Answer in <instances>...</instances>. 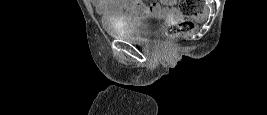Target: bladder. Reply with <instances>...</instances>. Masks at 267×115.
Returning a JSON list of instances; mask_svg holds the SVG:
<instances>
[{
  "label": "bladder",
  "mask_w": 267,
  "mask_h": 115,
  "mask_svg": "<svg viewBox=\"0 0 267 115\" xmlns=\"http://www.w3.org/2000/svg\"><path fill=\"white\" fill-rule=\"evenodd\" d=\"M164 20V16L155 13H147L140 16L138 21L129 24L109 25L107 30L115 38L144 42L151 39L159 25Z\"/></svg>",
  "instance_id": "bladder-1"
}]
</instances>
